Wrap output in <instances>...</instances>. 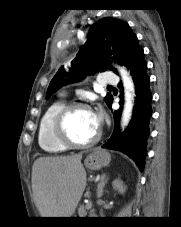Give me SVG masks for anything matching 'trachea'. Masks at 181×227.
Listing matches in <instances>:
<instances>
[{
  "label": "trachea",
  "instance_id": "obj_1",
  "mask_svg": "<svg viewBox=\"0 0 181 227\" xmlns=\"http://www.w3.org/2000/svg\"><path fill=\"white\" fill-rule=\"evenodd\" d=\"M108 88H112V86H108Z\"/></svg>",
  "mask_w": 181,
  "mask_h": 227
}]
</instances>
